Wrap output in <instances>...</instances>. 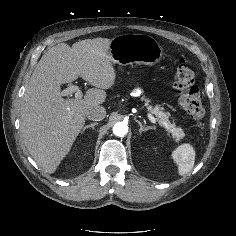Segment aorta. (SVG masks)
<instances>
[{
    "label": "aorta",
    "instance_id": "762f6f07",
    "mask_svg": "<svg viewBox=\"0 0 236 236\" xmlns=\"http://www.w3.org/2000/svg\"><path fill=\"white\" fill-rule=\"evenodd\" d=\"M113 133L116 136L123 137L128 133V126L124 122H117L113 126Z\"/></svg>",
    "mask_w": 236,
    "mask_h": 236
}]
</instances>
